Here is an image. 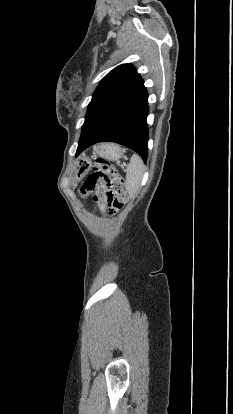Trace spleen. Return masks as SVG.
<instances>
[{
	"label": "spleen",
	"instance_id": "spleen-1",
	"mask_svg": "<svg viewBox=\"0 0 233 414\" xmlns=\"http://www.w3.org/2000/svg\"><path fill=\"white\" fill-rule=\"evenodd\" d=\"M144 164L142 159L134 154L126 169V184L129 196L134 198L139 190L142 177L144 175Z\"/></svg>",
	"mask_w": 233,
	"mask_h": 414
}]
</instances>
